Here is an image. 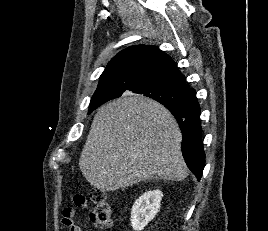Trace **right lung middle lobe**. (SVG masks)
I'll return each mask as SVG.
<instances>
[{
	"label": "right lung middle lobe",
	"mask_w": 268,
	"mask_h": 231,
	"mask_svg": "<svg viewBox=\"0 0 268 231\" xmlns=\"http://www.w3.org/2000/svg\"><path fill=\"white\" fill-rule=\"evenodd\" d=\"M126 89L124 88H106L102 93L98 101L109 98L114 95H121ZM128 90L134 93L143 94L144 96L153 98L158 102L169 101L173 104L188 105L193 102L196 94L180 90L171 85L156 82V81H144L135 84ZM162 104V103H161ZM102 105V103H90L89 113L95 110L97 107Z\"/></svg>",
	"instance_id": "right-lung-middle-lobe-1"
}]
</instances>
